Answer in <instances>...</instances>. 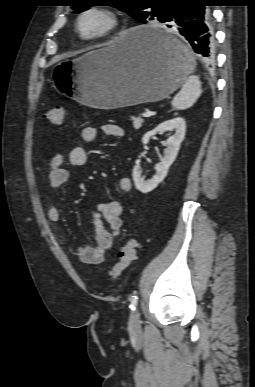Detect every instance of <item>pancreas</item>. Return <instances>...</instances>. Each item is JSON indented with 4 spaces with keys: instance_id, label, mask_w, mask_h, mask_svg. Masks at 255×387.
<instances>
[{
    "instance_id": "1",
    "label": "pancreas",
    "mask_w": 255,
    "mask_h": 387,
    "mask_svg": "<svg viewBox=\"0 0 255 387\" xmlns=\"http://www.w3.org/2000/svg\"><path fill=\"white\" fill-rule=\"evenodd\" d=\"M133 120V127L135 129H140L142 127V124L144 123V120L140 117H131Z\"/></svg>"
}]
</instances>
